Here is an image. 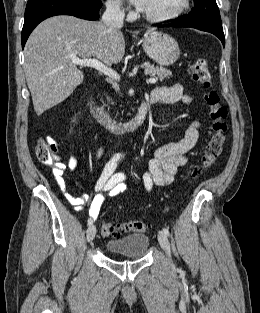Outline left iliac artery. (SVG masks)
Returning <instances> with one entry per match:
<instances>
[{"label": "left iliac artery", "mask_w": 260, "mask_h": 313, "mask_svg": "<svg viewBox=\"0 0 260 313\" xmlns=\"http://www.w3.org/2000/svg\"><path fill=\"white\" fill-rule=\"evenodd\" d=\"M163 233L166 235V236H169V230L167 228H163Z\"/></svg>", "instance_id": "1"}]
</instances>
